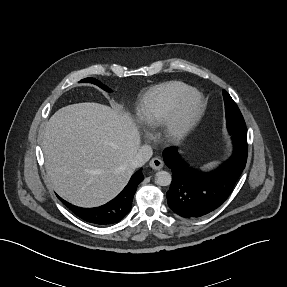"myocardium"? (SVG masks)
<instances>
[{
  "label": "myocardium",
  "mask_w": 287,
  "mask_h": 287,
  "mask_svg": "<svg viewBox=\"0 0 287 287\" xmlns=\"http://www.w3.org/2000/svg\"><path fill=\"white\" fill-rule=\"evenodd\" d=\"M203 110L204 99L196 89L181 94L162 121L163 140L170 144L182 142L200 120Z\"/></svg>",
  "instance_id": "f54148a6"
}]
</instances>
